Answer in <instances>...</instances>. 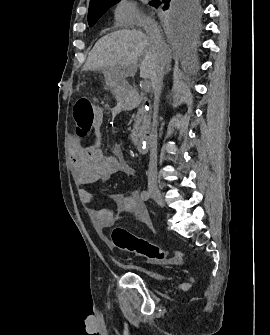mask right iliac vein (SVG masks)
<instances>
[{
    "label": "right iliac vein",
    "mask_w": 270,
    "mask_h": 335,
    "mask_svg": "<svg viewBox=\"0 0 270 335\" xmlns=\"http://www.w3.org/2000/svg\"><path fill=\"white\" fill-rule=\"evenodd\" d=\"M149 193L151 197L154 199V201L161 207L165 206L164 198L159 191L158 187L155 185H150L149 186Z\"/></svg>",
    "instance_id": "1"
}]
</instances>
